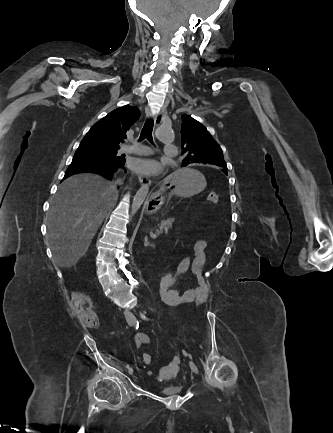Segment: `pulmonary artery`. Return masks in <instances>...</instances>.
<instances>
[{
	"mask_svg": "<svg viewBox=\"0 0 333 433\" xmlns=\"http://www.w3.org/2000/svg\"><path fill=\"white\" fill-rule=\"evenodd\" d=\"M120 152L122 153H133L138 155H148L152 153V149L146 145L142 144H134V145H125L121 148ZM164 154L168 156H172L175 153V146L172 144H165L163 149Z\"/></svg>",
	"mask_w": 333,
	"mask_h": 433,
	"instance_id": "1",
	"label": "pulmonary artery"
}]
</instances>
